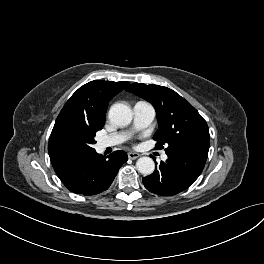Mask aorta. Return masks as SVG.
<instances>
[{"instance_id": "obj_1", "label": "aorta", "mask_w": 264, "mask_h": 264, "mask_svg": "<svg viewBox=\"0 0 264 264\" xmlns=\"http://www.w3.org/2000/svg\"><path fill=\"white\" fill-rule=\"evenodd\" d=\"M109 119L118 126H126L132 121V111L123 103H116L109 110ZM138 172L150 175L154 172L155 163L150 157H141L136 162Z\"/></svg>"}]
</instances>
